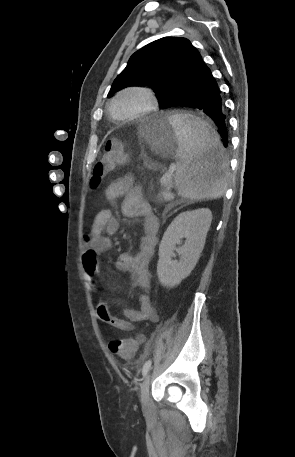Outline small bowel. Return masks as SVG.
Returning a JSON list of instances; mask_svg holds the SVG:
<instances>
[{"mask_svg":"<svg viewBox=\"0 0 295 457\" xmlns=\"http://www.w3.org/2000/svg\"><path fill=\"white\" fill-rule=\"evenodd\" d=\"M106 197L110 201L123 198L122 213L127 217L143 219V236L139 252L135 255L122 254L116 262L119 270L131 274L134 286L140 291L139 308H125L122 316H117L110 311L107 303H101L96 311L97 318L102 323L122 331H131L137 323L158 321V313L149 296V264L157 245L159 224L131 176H124L111 182L106 189ZM118 225L112 212L109 209H102L95 215L92 227L84 237L82 266L85 279L94 292L103 293L104 291L99 277L98 257L112 247V237L116 233Z\"/></svg>","mask_w":295,"mask_h":457,"instance_id":"1","label":"small bowel"}]
</instances>
